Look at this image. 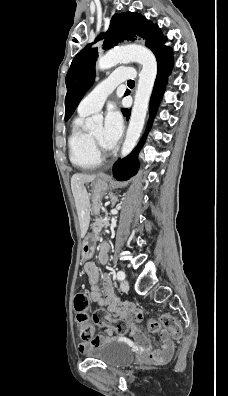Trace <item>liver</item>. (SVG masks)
I'll use <instances>...</instances> for the list:
<instances>
[{"label":"liver","instance_id":"1","mask_svg":"<svg viewBox=\"0 0 228 396\" xmlns=\"http://www.w3.org/2000/svg\"><path fill=\"white\" fill-rule=\"evenodd\" d=\"M95 178V175L86 174H74L71 178V189L76 204L82 237L87 232L90 220V201L84 184L92 182Z\"/></svg>","mask_w":228,"mask_h":396}]
</instances>
